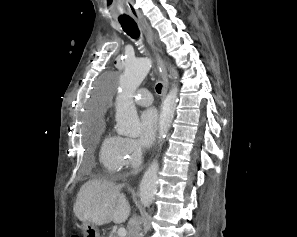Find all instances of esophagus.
Segmentation results:
<instances>
[{
    "label": "esophagus",
    "mask_w": 297,
    "mask_h": 237,
    "mask_svg": "<svg viewBox=\"0 0 297 237\" xmlns=\"http://www.w3.org/2000/svg\"><path fill=\"white\" fill-rule=\"evenodd\" d=\"M135 19L137 20V22L139 23L143 33L146 35L149 43L151 44V46L153 47V49L156 51V48L154 47L153 44V32L147 22V20L139 13L134 14ZM157 56L159 57L158 53ZM159 64H160V68H161V73H162V82H163V88H162V96L165 97L167 94V90H168V76H167V71L162 63V61L159 58Z\"/></svg>",
    "instance_id": "obj_1"
}]
</instances>
